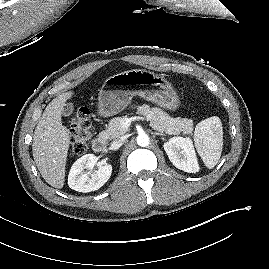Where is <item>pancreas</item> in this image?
<instances>
[{"label":"pancreas","mask_w":269,"mask_h":269,"mask_svg":"<svg viewBox=\"0 0 269 269\" xmlns=\"http://www.w3.org/2000/svg\"><path fill=\"white\" fill-rule=\"evenodd\" d=\"M138 114L143 115L150 122L152 128L162 133L178 135L182 132L184 135H189L193 132V121L191 119L172 118L160 108L142 105ZM125 118L126 116L111 119L107 129L100 133V137L112 140L124 135L128 131V128L122 126V121Z\"/></svg>","instance_id":"1"}]
</instances>
